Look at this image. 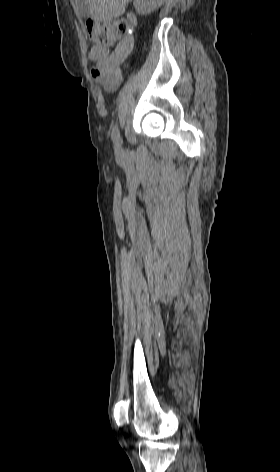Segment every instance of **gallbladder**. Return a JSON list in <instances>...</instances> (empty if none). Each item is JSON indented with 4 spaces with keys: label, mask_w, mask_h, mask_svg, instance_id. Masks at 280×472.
Listing matches in <instances>:
<instances>
[{
    "label": "gallbladder",
    "mask_w": 280,
    "mask_h": 472,
    "mask_svg": "<svg viewBox=\"0 0 280 472\" xmlns=\"http://www.w3.org/2000/svg\"><path fill=\"white\" fill-rule=\"evenodd\" d=\"M77 9L82 17H88L90 14L88 12V5L86 0H76Z\"/></svg>",
    "instance_id": "bac80fb5"
}]
</instances>
